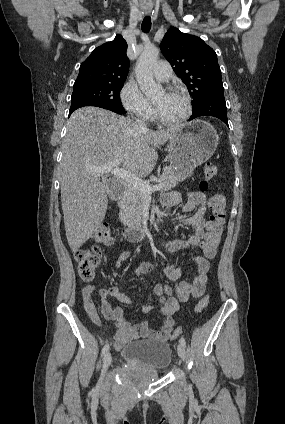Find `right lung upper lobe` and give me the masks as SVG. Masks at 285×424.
<instances>
[{
	"label": "right lung upper lobe",
	"instance_id": "obj_1",
	"mask_svg": "<svg viewBox=\"0 0 285 424\" xmlns=\"http://www.w3.org/2000/svg\"><path fill=\"white\" fill-rule=\"evenodd\" d=\"M127 43L121 35L93 50L81 64L74 85L99 82L125 81L129 69Z\"/></svg>",
	"mask_w": 285,
	"mask_h": 424
}]
</instances>
